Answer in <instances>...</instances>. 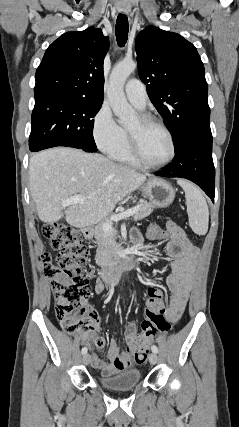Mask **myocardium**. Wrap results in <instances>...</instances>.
Returning a JSON list of instances; mask_svg holds the SVG:
<instances>
[{
    "label": "myocardium",
    "mask_w": 239,
    "mask_h": 427,
    "mask_svg": "<svg viewBox=\"0 0 239 427\" xmlns=\"http://www.w3.org/2000/svg\"><path fill=\"white\" fill-rule=\"evenodd\" d=\"M138 117L142 124L157 127L167 135L171 144V154L165 161L161 163L154 164V163L148 162L141 154L137 136L127 129L126 134H127L128 146L133 159L139 165L144 166L146 168L158 169V168L167 166L174 160L177 153L176 142L172 132L163 123L159 122L158 120L151 117L150 115L139 114Z\"/></svg>",
    "instance_id": "obj_1"
}]
</instances>
